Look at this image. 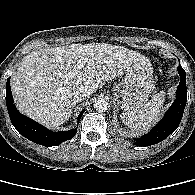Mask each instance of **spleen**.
Returning a JSON list of instances; mask_svg holds the SVG:
<instances>
[{
  "instance_id": "spleen-1",
  "label": "spleen",
  "mask_w": 195,
  "mask_h": 195,
  "mask_svg": "<svg viewBox=\"0 0 195 195\" xmlns=\"http://www.w3.org/2000/svg\"><path fill=\"white\" fill-rule=\"evenodd\" d=\"M166 93L160 91L141 108L122 113L120 119L129 129L138 133L146 132L163 110Z\"/></svg>"
}]
</instances>
